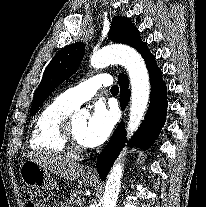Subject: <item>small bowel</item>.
<instances>
[{
	"mask_svg": "<svg viewBox=\"0 0 206 207\" xmlns=\"http://www.w3.org/2000/svg\"><path fill=\"white\" fill-rule=\"evenodd\" d=\"M55 207H67V206L64 205L63 203H59V204H57Z\"/></svg>",
	"mask_w": 206,
	"mask_h": 207,
	"instance_id": "small-bowel-1",
	"label": "small bowel"
}]
</instances>
